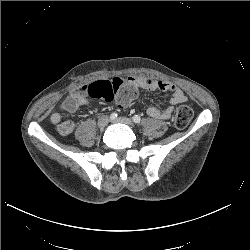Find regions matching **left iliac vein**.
<instances>
[{
    "mask_svg": "<svg viewBox=\"0 0 250 250\" xmlns=\"http://www.w3.org/2000/svg\"><path fill=\"white\" fill-rule=\"evenodd\" d=\"M113 123H122V124H126L128 126H133V122L128 119V118H125V117H119V118H116V119H112L111 120Z\"/></svg>",
    "mask_w": 250,
    "mask_h": 250,
    "instance_id": "1",
    "label": "left iliac vein"
}]
</instances>
